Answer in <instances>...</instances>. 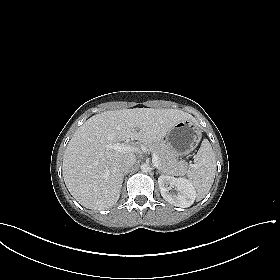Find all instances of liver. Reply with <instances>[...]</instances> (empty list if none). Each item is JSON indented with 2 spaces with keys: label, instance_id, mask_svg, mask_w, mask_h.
<instances>
[{
  "label": "liver",
  "instance_id": "6515ba94",
  "mask_svg": "<svg viewBox=\"0 0 280 280\" xmlns=\"http://www.w3.org/2000/svg\"><path fill=\"white\" fill-rule=\"evenodd\" d=\"M193 119L182 110L153 108L110 110L92 116L76 130L64 153L62 170L69 192L86 208H111L120 197L121 161L133 152H117L105 144L129 139L151 143L178 122Z\"/></svg>",
  "mask_w": 280,
  "mask_h": 280
}]
</instances>
